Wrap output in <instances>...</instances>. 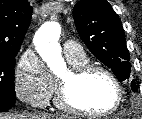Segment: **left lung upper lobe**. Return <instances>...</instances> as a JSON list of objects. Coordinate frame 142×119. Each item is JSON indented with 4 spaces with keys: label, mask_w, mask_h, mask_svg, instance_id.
<instances>
[{
    "label": "left lung upper lobe",
    "mask_w": 142,
    "mask_h": 119,
    "mask_svg": "<svg viewBox=\"0 0 142 119\" xmlns=\"http://www.w3.org/2000/svg\"><path fill=\"white\" fill-rule=\"evenodd\" d=\"M78 33L88 49L119 81L130 77L131 63L119 16L106 0H80L73 9ZM131 88L137 91L135 82Z\"/></svg>",
    "instance_id": "obj_1"
}]
</instances>
